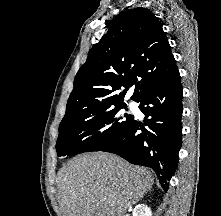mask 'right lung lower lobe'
<instances>
[{
	"instance_id": "right-lung-lower-lobe-1",
	"label": "right lung lower lobe",
	"mask_w": 221,
	"mask_h": 216,
	"mask_svg": "<svg viewBox=\"0 0 221 216\" xmlns=\"http://www.w3.org/2000/svg\"><path fill=\"white\" fill-rule=\"evenodd\" d=\"M180 79L177 70L138 101L141 112L150 117L145 120L148 128L134 119L116 140L100 150L117 154L132 164L152 168L165 191L176 171L182 143Z\"/></svg>"
}]
</instances>
